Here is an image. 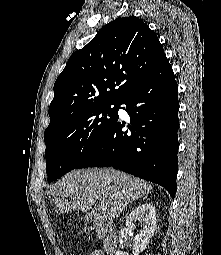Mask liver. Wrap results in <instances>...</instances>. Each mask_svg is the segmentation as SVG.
<instances>
[{
  "instance_id": "6515ba94",
  "label": "liver",
  "mask_w": 221,
  "mask_h": 255,
  "mask_svg": "<svg viewBox=\"0 0 221 255\" xmlns=\"http://www.w3.org/2000/svg\"><path fill=\"white\" fill-rule=\"evenodd\" d=\"M153 187L140 178L114 169L74 170L48 190L61 214L88 211L99 201L107 215L118 217L126 206L151 193Z\"/></svg>"
}]
</instances>
